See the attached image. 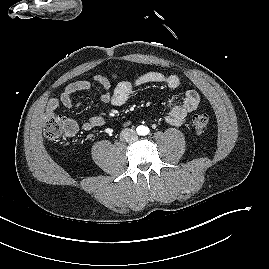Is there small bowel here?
Listing matches in <instances>:
<instances>
[{"label":"small bowel","instance_id":"c3829d8e","mask_svg":"<svg viewBox=\"0 0 269 269\" xmlns=\"http://www.w3.org/2000/svg\"><path fill=\"white\" fill-rule=\"evenodd\" d=\"M93 80L102 87V92L99 98L103 103H110L113 106L124 105L134 90L146 84H162L170 89H176L180 85V79L174 74H164L156 71H145L139 74L132 80L120 81L111 89L109 80L103 75H94ZM94 93L92 84L89 81L79 80L68 84L61 92L59 97H52L46 106L48 112H52L62 105L66 109L72 108L76 103L73 100V95L77 92ZM200 103V96L195 90H188L180 104L175 105L168 112L166 121L174 126L183 124L188 115L197 109ZM71 129L67 136H72L76 130L77 125L74 121L68 119ZM104 124V119L100 115L90 117L83 122L82 128L85 131H90L93 128L100 127ZM125 124H128L126 122Z\"/></svg>","mask_w":269,"mask_h":269}]
</instances>
